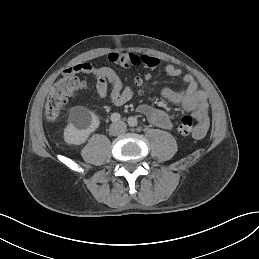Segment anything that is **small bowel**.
Returning a JSON list of instances; mask_svg holds the SVG:
<instances>
[{
	"label": "small bowel",
	"mask_w": 259,
	"mask_h": 259,
	"mask_svg": "<svg viewBox=\"0 0 259 259\" xmlns=\"http://www.w3.org/2000/svg\"><path fill=\"white\" fill-rule=\"evenodd\" d=\"M108 61L121 67L142 65L155 69L159 65L157 58L136 53H112L108 56ZM80 72L90 75L95 80L96 91L101 98L109 99L117 106L124 105L133 97L132 89L123 85L115 70L103 66L101 62H85L65 70V73L72 74ZM165 72L170 77H179L182 73L179 68L172 64L165 66ZM182 80L185 84L183 89L175 91L171 88H164L161 95L164 99L181 106L197 120V129L193 136L199 139L205 136L210 125L207 95L198 88L192 75L185 74ZM137 111L155 126L163 129L172 128V122L163 109L142 104L138 106Z\"/></svg>",
	"instance_id": "c3829d8e"
}]
</instances>
